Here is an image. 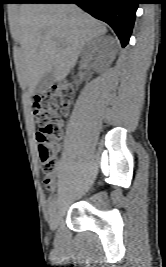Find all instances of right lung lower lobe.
Returning a JSON list of instances; mask_svg holds the SVG:
<instances>
[{"mask_svg":"<svg viewBox=\"0 0 166 267\" xmlns=\"http://www.w3.org/2000/svg\"><path fill=\"white\" fill-rule=\"evenodd\" d=\"M20 3H75L95 18L108 23L122 47L129 41L139 0H22Z\"/></svg>","mask_w":166,"mask_h":267,"instance_id":"right-lung-lower-lobe-1","label":"right lung lower lobe"}]
</instances>
